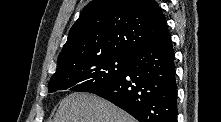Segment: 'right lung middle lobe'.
Wrapping results in <instances>:
<instances>
[{
	"label": "right lung middle lobe",
	"instance_id": "1",
	"mask_svg": "<svg viewBox=\"0 0 221 122\" xmlns=\"http://www.w3.org/2000/svg\"><path fill=\"white\" fill-rule=\"evenodd\" d=\"M130 60V56L107 55L76 64L52 76L48 92L72 90L91 93L123 74Z\"/></svg>",
	"mask_w": 221,
	"mask_h": 122
}]
</instances>
